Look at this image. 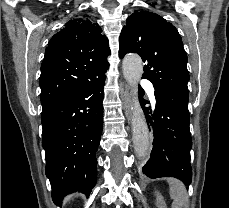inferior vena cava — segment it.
<instances>
[{
	"label": "inferior vena cava",
	"instance_id": "602c4592",
	"mask_svg": "<svg viewBox=\"0 0 229 208\" xmlns=\"http://www.w3.org/2000/svg\"><path fill=\"white\" fill-rule=\"evenodd\" d=\"M132 126H133V134H136L138 130V126H134V124H132Z\"/></svg>",
	"mask_w": 229,
	"mask_h": 208
}]
</instances>
